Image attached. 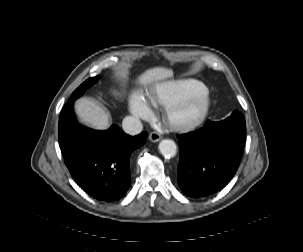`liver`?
<instances>
[{
    "label": "liver",
    "instance_id": "obj_1",
    "mask_svg": "<svg viewBox=\"0 0 303 252\" xmlns=\"http://www.w3.org/2000/svg\"><path fill=\"white\" fill-rule=\"evenodd\" d=\"M172 76V71L167 68L157 67L144 72L139 78L138 82L142 85H149L151 83L158 84ZM76 111L79 117L85 123L90 124L97 129H106L109 126V118L105 109L97 102L83 98L76 102Z\"/></svg>",
    "mask_w": 303,
    "mask_h": 252
}]
</instances>
